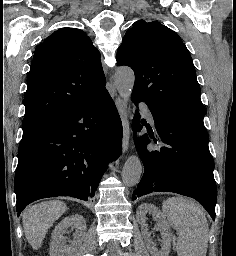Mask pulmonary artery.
Returning a JSON list of instances; mask_svg holds the SVG:
<instances>
[{"label": "pulmonary artery", "instance_id": "obj_1", "mask_svg": "<svg viewBox=\"0 0 236 256\" xmlns=\"http://www.w3.org/2000/svg\"><path fill=\"white\" fill-rule=\"evenodd\" d=\"M140 108L143 114L147 117V119L153 123V116L148 106L145 103H143Z\"/></svg>", "mask_w": 236, "mask_h": 256}]
</instances>
